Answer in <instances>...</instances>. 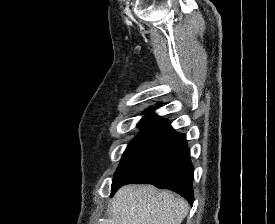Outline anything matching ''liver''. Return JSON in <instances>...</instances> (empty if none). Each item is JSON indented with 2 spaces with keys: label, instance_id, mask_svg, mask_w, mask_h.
<instances>
[{
  "label": "liver",
  "instance_id": "1",
  "mask_svg": "<svg viewBox=\"0 0 275 224\" xmlns=\"http://www.w3.org/2000/svg\"><path fill=\"white\" fill-rule=\"evenodd\" d=\"M111 209L118 224H181L188 203L152 185H126L114 195Z\"/></svg>",
  "mask_w": 275,
  "mask_h": 224
}]
</instances>
